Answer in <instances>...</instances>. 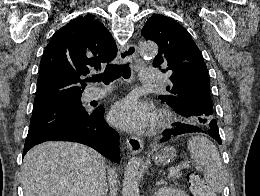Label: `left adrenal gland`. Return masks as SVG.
Masks as SVG:
<instances>
[{"label": "left adrenal gland", "mask_w": 260, "mask_h": 196, "mask_svg": "<svg viewBox=\"0 0 260 196\" xmlns=\"http://www.w3.org/2000/svg\"><path fill=\"white\" fill-rule=\"evenodd\" d=\"M161 184H163V180H160V182H157V184H155V186H161Z\"/></svg>", "instance_id": "a2214340"}]
</instances>
